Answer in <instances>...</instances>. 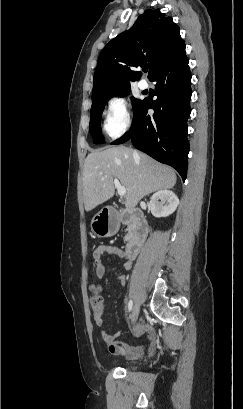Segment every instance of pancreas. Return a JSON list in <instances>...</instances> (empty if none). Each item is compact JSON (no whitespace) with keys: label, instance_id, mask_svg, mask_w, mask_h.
<instances>
[{"label":"pancreas","instance_id":"1","mask_svg":"<svg viewBox=\"0 0 243 409\" xmlns=\"http://www.w3.org/2000/svg\"><path fill=\"white\" fill-rule=\"evenodd\" d=\"M126 232H128L127 234H126V236L124 237V240H128L129 239V237H130V231H131V228L130 227H128L126 230H125Z\"/></svg>","mask_w":243,"mask_h":409}]
</instances>
